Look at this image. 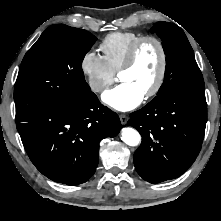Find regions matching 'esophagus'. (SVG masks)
<instances>
[{"instance_id":"1","label":"esophagus","mask_w":221,"mask_h":221,"mask_svg":"<svg viewBox=\"0 0 221 221\" xmlns=\"http://www.w3.org/2000/svg\"><path fill=\"white\" fill-rule=\"evenodd\" d=\"M119 118H120V121L123 125H125L128 121V116L126 114H120Z\"/></svg>"}]
</instances>
